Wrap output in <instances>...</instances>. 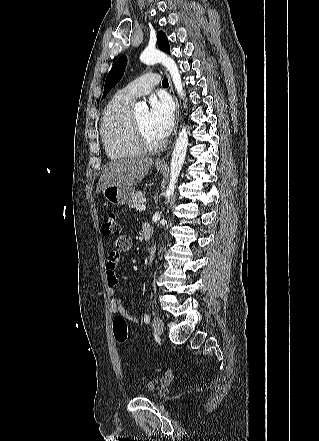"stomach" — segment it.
<instances>
[{
  "label": "stomach",
  "mask_w": 319,
  "mask_h": 441,
  "mask_svg": "<svg viewBox=\"0 0 319 441\" xmlns=\"http://www.w3.org/2000/svg\"><path fill=\"white\" fill-rule=\"evenodd\" d=\"M157 171H163L164 168L156 166ZM104 199L112 205L129 204L134 195L135 188L132 184L111 185L102 190Z\"/></svg>",
  "instance_id": "1"
}]
</instances>
